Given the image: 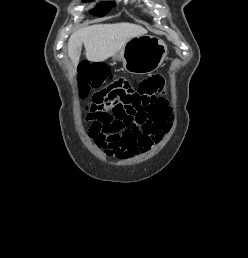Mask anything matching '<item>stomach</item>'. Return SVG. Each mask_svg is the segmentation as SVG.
I'll use <instances>...</instances> for the list:
<instances>
[{
  "label": "stomach",
  "instance_id": "obj_1",
  "mask_svg": "<svg viewBox=\"0 0 248 258\" xmlns=\"http://www.w3.org/2000/svg\"><path fill=\"white\" fill-rule=\"evenodd\" d=\"M166 55L167 46L161 39L142 35L130 39L113 59L121 61L128 73L141 75L157 70Z\"/></svg>",
  "mask_w": 248,
  "mask_h": 258
}]
</instances>
